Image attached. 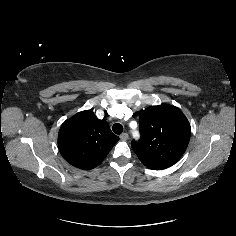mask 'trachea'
<instances>
[{"label":"trachea","mask_w":236,"mask_h":236,"mask_svg":"<svg viewBox=\"0 0 236 236\" xmlns=\"http://www.w3.org/2000/svg\"><path fill=\"white\" fill-rule=\"evenodd\" d=\"M112 130L115 134L120 135L123 132V126L119 123H115Z\"/></svg>","instance_id":"obj_1"}]
</instances>
